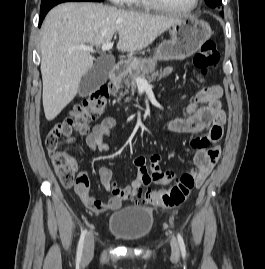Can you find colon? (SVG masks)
I'll return each mask as SVG.
<instances>
[{"instance_id": "obj_1", "label": "colon", "mask_w": 265, "mask_h": 269, "mask_svg": "<svg viewBox=\"0 0 265 269\" xmlns=\"http://www.w3.org/2000/svg\"><path fill=\"white\" fill-rule=\"evenodd\" d=\"M220 60L216 44L212 40L205 41L194 56V65L206 75L216 68ZM109 91L101 86L87 97L81 104L76 105L70 115L58 122L49 132L46 147L52 166L62 185L70 187L76 182L77 163L67 152L65 146L70 143L73 132L86 134L90 123L98 118L107 105ZM221 127L215 125L210 131L212 139L221 137ZM198 184V176L194 170L183 173L176 184L169 190L146 191L142 194L144 200L159 207L171 208L183 204Z\"/></svg>"}]
</instances>
